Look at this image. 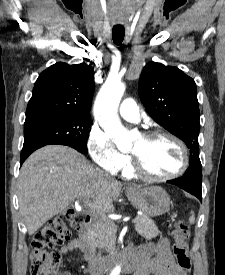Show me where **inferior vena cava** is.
<instances>
[{
    "instance_id": "1",
    "label": "inferior vena cava",
    "mask_w": 225,
    "mask_h": 275,
    "mask_svg": "<svg viewBox=\"0 0 225 275\" xmlns=\"http://www.w3.org/2000/svg\"><path fill=\"white\" fill-rule=\"evenodd\" d=\"M104 269L102 266L98 267L97 270L94 272V275H103Z\"/></svg>"
}]
</instances>
